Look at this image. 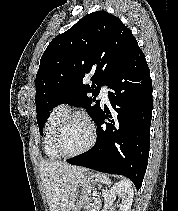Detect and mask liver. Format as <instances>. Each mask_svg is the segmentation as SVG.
Instances as JSON below:
<instances>
[{
    "mask_svg": "<svg viewBox=\"0 0 178 211\" xmlns=\"http://www.w3.org/2000/svg\"><path fill=\"white\" fill-rule=\"evenodd\" d=\"M39 169L50 211H65L72 185L87 169L49 160H41Z\"/></svg>",
    "mask_w": 178,
    "mask_h": 211,
    "instance_id": "1",
    "label": "liver"
}]
</instances>
